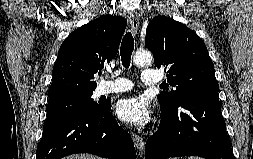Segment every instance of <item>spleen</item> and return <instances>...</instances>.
Returning <instances> with one entry per match:
<instances>
[{
    "instance_id": "spleen-1",
    "label": "spleen",
    "mask_w": 253,
    "mask_h": 159,
    "mask_svg": "<svg viewBox=\"0 0 253 159\" xmlns=\"http://www.w3.org/2000/svg\"><path fill=\"white\" fill-rule=\"evenodd\" d=\"M188 159H203V158H201V157H198V156H192V157H189Z\"/></svg>"
}]
</instances>
